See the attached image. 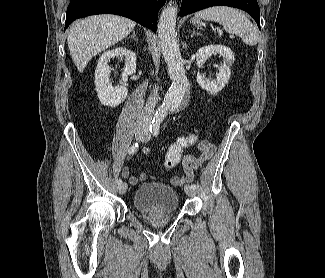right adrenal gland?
I'll return each instance as SVG.
<instances>
[{
    "label": "right adrenal gland",
    "mask_w": 325,
    "mask_h": 278,
    "mask_svg": "<svg viewBox=\"0 0 325 278\" xmlns=\"http://www.w3.org/2000/svg\"><path fill=\"white\" fill-rule=\"evenodd\" d=\"M130 37L133 38L134 40H137L136 35H135V31H133V33H132V35Z\"/></svg>",
    "instance_id": "1"
}]
</instances>
